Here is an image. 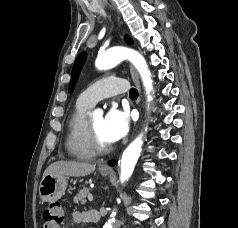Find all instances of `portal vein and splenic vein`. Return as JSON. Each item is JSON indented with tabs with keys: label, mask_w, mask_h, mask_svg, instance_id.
<instances>
[{
	"label": "portal vein and splenic vein",
	"mask_w": 238,
	"mask_h": 228,
	"mask_svg": "<svg viewBox=\"0 0 238 228\" xmlns=\"http://www.w3.org/2000/svg\"><path fill=\"white\" fill-rule=\"evenodd\" d=\"M88 200H89L90 202L93 201V196H92L91 194L88 195Z\"/></svg>",
	"instance_id": "portal-vein-and-splenic-vein-1"
}]
</instances>
